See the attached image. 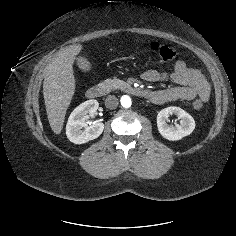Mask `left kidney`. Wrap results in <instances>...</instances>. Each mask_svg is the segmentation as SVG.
Instances as JSON below:
<instances>
[{"label":"left kidney","instance_id":"left-kidney-1","mask_svg":"<svg viewBox=\"0 0 236 236\" xmlns=\"http://www.w3.org/2000/svg\"><path fill=\"white\" fill-rule=\"evenodd\" d=\"M170 114H175L180 119V124L169 126L167 118ZM157 127L162 137L170 141L181 140L190 135L195 129V121L191 115L179 107H167L162 109L157 115Z\"/></svg>","mask_w":236,"mask_h":236}]
</instances>
